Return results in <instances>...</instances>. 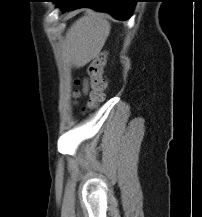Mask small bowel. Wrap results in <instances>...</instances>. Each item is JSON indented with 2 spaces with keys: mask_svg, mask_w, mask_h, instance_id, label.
<instances>
[{
  "mask_svg": "<svg viewBox=\"0 0 202 217\" xmlns=\"http://www.w3.org/2000/svg\"><path fill=\"white\" fill-rule=\"evenodd\" d=\"M87 90H88V87L87 85H85L84 91L87 92Z\"/></svg>",
  "mask_w": 202,
  "mask_h": 217,
  "instance_id": "c3829d8e",
  "label": "small bowel"
}]
</instances>
